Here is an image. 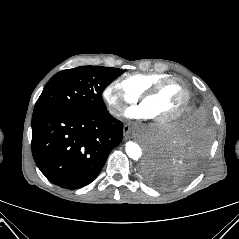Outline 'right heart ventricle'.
<instances>
[{
	"label": "right heart ventricle",
	"instance_id": "obj_1",
	"mask_svg": "<svg viewBox=\"0 0 239 239\" xmlns=\"http://www.w3.org/2000/svg\"><path fill=\"white\" fill-rule=\"evenodd\" d=\"M168 77L171 76L165 73H132L123 77L121 82L127 89L140 96L147 88Z\"/></svg>",
	"mask_w": 239,
	"mask_h": 239
}]
</instances>
